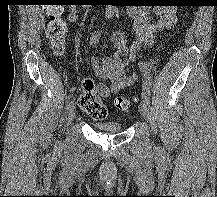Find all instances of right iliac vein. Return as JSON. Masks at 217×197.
I'll use <instances>...</instances> for the list:
<instances>
[{"mask_svg":"<svg viewBox=\"0 0 217 197\" xmlns=\"http://www.w3.org/2000/svg\"><path fill=\"white\" fill-rule=\"evenodd\" d=\"M75 117V110L74 108L70 109L68 113V123H71Z\"/></svg>","mask_w":217,"mask_h":197,"instance_id":"63e3f726","label":"right iliac vein"}]
</instances>
